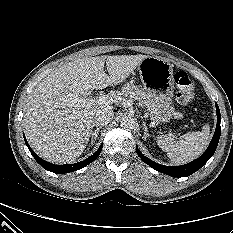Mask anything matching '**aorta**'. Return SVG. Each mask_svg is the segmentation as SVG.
<instances>
[{
	"mask_svg": "<svg viewBox=\"0 0 233 233\" xmlns=\"http://www.w3.org/2000/svg\"><path fill=\"white\" fill-rule=\"evenodd\" d=\"M120 126L125 129H134L135 120L132 117L124 116L120 119Z\"/></svg>",
	"mask_w": 233,
	"mask_h": 233,
	"instance_id": "obj_1",
	"label": "aorta"
}]
</instances>
